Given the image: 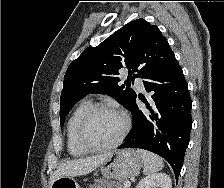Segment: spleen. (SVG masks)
I'll return each instance as SVG.
<instances>
[{
    "label": "spleen",
    "mask_w": 224,
    "mask_h": 188,
    "mask_svg": "<svg viewBox=\"0 0 224 188\" xmlns=\"http://www.w3.org/2000/svg\"><path fill=\"white\" fill-rule=\"evenodd\" d=\"M137 153L142 159L144 165L143 173L145 175L153 174L164 167L163 159L154 153L142 149H138Z\"/></svg>",
    "instance_id": "3e777b00"
}]
</instances>
